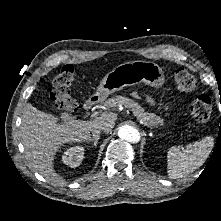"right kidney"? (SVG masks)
Here are the masks:
<instances>
[{
  "label": "right kidney",
  "mask_w": 221,
  "mask_h": 221,
  "mask_svg": "<svg viewBox=\"0 0 221 221\" xmlns=\"http://www.w3.org/2000/svg\"><path fill=\"white\" fill-rule=\"evenodd\" d=\"M84 158V148L81 146H75L67 149L63 156L62 161L64 164L75 168L78 167Z\"/></svg>",
  "instance_id": "1"
}]
</instances>
